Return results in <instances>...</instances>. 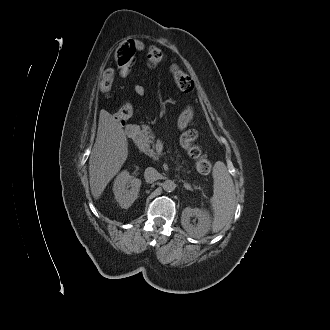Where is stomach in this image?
Returning a JSON list of instances; mask_svg holds the SVG:
<instances>
[{
	"label": "stomach",
	"mask_w": 330,
	"mask_h": 330,
	"mask_svg": "<svg viewBox=\"0 0 330 330\" xmlns=\"http://www.w3.org/2000/svg\"><path fill=\"white\" fill-rule=\"evenodd\" d=\"M193 116V111L191 108L185 109L179 116L178 119V127L180 130H185L188 126L189 122L191 121Z\"/></svg>",
	"instance_id": "1"
}]
</instances>
